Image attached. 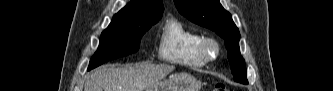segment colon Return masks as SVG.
Returning a JSON list of instances; mask_svg holds the SVG:
<instances>
[{"mask_svg":"<svg viewBox=\"0 0 333 91\" xmlns=\"http://www.w3.org/2000/svg\"><path fill=\"white\" fill-rule=\"evenodd\" d=\"M226 87L222 83H216L213 87V91H226Z\"/></svg>","mask_w":333,"mask_h":91,"instance_id":"5ec220e1","label":"colon"}]
</instances>
